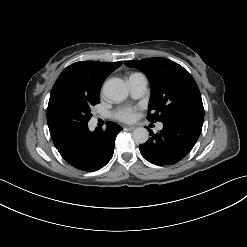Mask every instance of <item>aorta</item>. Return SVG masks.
<instances>
[{"label":"aorta","instance_id":"obj_1","mask_svg":"<svg viewBox=\"0 0 247 247\" xmlns=\"http://www.w3.org/2000/svg\"><path fill=\"white\" fill-rule=\"evenodd\" d=\"M105 97L113 102H119L128 96V86L120 78H111L103 86ZM149 132L144 127H138L133 131V139L138 144H144L148 141Z\"/></svg>","mask_w":247,"mask_h":247}]
</instances>
